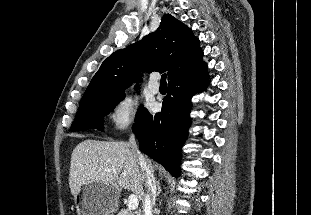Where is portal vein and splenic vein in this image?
Wrapping results in <instances>:
<instances>
[{
    "label": "portal vein and splenic vein",
    "mask_w": 311,
    "mask_h": 215,
    "mask_svg": "<svg viewBox=\"0 0 311 215\" xmlns=\"http://www.w3.org/2000/svg\"><path fill=\"white\" fill-rule=\"evenodd\" d=\"M139 202L135 195H130L128 198V209L135 210L138 208Z\"/></svg>",
    "instance_id": "obj_1"
}]
</instances>
